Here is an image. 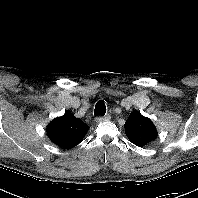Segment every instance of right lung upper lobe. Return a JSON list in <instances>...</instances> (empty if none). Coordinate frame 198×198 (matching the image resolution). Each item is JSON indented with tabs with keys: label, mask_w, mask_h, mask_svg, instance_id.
<instances>
[{
	"label": "right lung upper lobe",
	"mask_w": 198,
	"mask_h": 198,
	"mask_svg": "<svg viewBox=\"0 0 198 198\" xmlns=\"http://www.w3.org/2000/svg\"><path fill=\"white\" fill-rule=\"evenodd\" d=\"M89 127L70 111L55 118L47 126V135L56 145L70 149L78 145L84 138Z\"/></svg>",
	"instance_id": "right-lung-upper-lobe-1"
}]
</instances>
